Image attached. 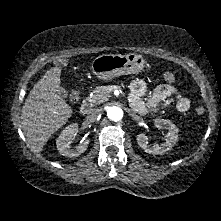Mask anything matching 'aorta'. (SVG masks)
<instances>
[{"mask_svg":"<svg viewBox=\"0 0 221 221\" xmlns=\"http://www.w3.org/2000/svg\"><path fill=\"white\" fill-rule=\"evenodd\" d=\"M107 115L112 121H119L123 118V110L119 106H111L107 110Z\"/></svg>","mask_w":221,"mask_h":221,"instance_id":"1","label":"aorta"}]
</instances>
